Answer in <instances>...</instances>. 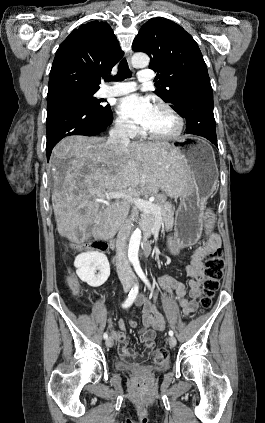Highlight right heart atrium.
I'll list each match as a JSON object with an SVG mask.
<instances>
[{"label": "right heart atrium", "instance_id": "right-heart-atrium-1", "mask_svg": "<svg viewBox=\"0 0 265 423\" xmlns=\"http://www.w3.org/2000/svg\"><path fill=\"white\" fill-rule=\"evenodd\" d=\"M115 128L118 132L128 137H134L138 133V128L135 126V124L123 117L116 118Z\"/></svg>", "mask_w": 265, "mask_h": 423}]
</instances>
